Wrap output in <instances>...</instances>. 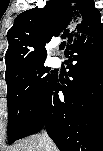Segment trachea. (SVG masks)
I'll return each mask as SVG.
<instances>
[{
  "label": "trachea",
  "mask_w": 103,
  "mask_h": 151,
  "mask_svg": "<svg viewBox=\"0 0 103 151\" xmlns=\"http://www.w3.org/2000/svg\"><path fill=\"white\" fill-rule=\"evenodd\" d=\"M65 45H66V43H65V42H62V43L60 44V46H59V49H60V50H63V49L65 48Z\"/></svg>",
  "instance_id": "obj_1"
}]
</instances>
